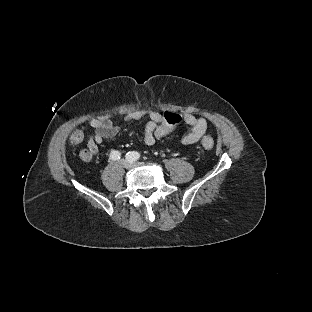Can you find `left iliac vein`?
<instances>
[{
    "mask_svg": "<svg viewBox=\"0 0 312 312\" xmlns=\"http://www.w3.org/2000/svg\"><path fill=\"white\" fill-rule=\"evenodd\" d=\"M141 165H143V163H142V162H134V163H133V166H135V167H137V166H141Z\"/></svg>",
    "mask_w": 312,
    "mask_h": 312,
    "instance_id": "1",
    "label": "left iliac vein"
}]
</instances>
